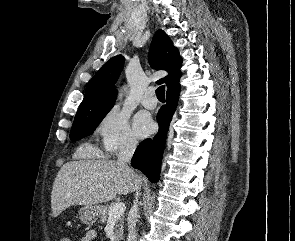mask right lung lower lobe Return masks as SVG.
Listing matches in <instances>:
<instances>
[{
	"instance_id": "98d812e1",
	"label": "right lung lower lobe",
	"mask_w": 295,
	"mask_h": 241,
	"mask_svg": "<svg viewBox=\"0 0 295 241\" xmlns=\"http://www.w3.org/2000/svg\"><path fill=\"white\" fill-rule=\"evenodd\" d=\"M179 90V83L168 87L166 92L167 103L160 108L157 114L159 124L158 133L153 139L142 141L131 160L132 166L142 171L151 182H157L160 177L165 140L177 105Z\"/></svg>"
}]
</instances>
